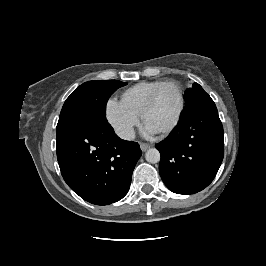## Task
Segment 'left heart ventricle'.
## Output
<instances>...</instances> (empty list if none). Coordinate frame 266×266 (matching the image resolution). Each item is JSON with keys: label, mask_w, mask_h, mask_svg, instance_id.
I'll return each mask as SVG.
<instances>
[{"label": "left heart ventricle", "mask_w": 266, "mask_h": 266, "mask_svg": "<svg viewBox=\"0 0 266 266\" xmlns=\"http://www.w3.org/2000/svg\"><path fill=\"white\" fill-rule=\"evenodd\" d=\"M179 106V94L175 86L164 87L146 115V123L157 131L162 130L176 115Z\"/></svg>", "instance_id": "obj_1"}]
</instances>
